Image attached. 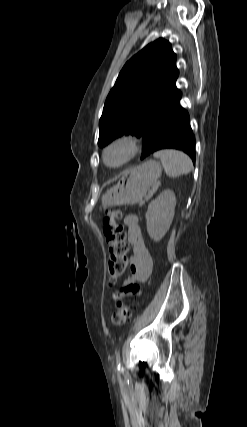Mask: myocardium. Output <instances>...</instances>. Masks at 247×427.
Returning a JSON list of instances; mask_svg holds the SVG:
<instances>
[{
  "mask_svg": "<svg viewBox=\"0 0 247 427\" xmlns=\"http://www.w3.org/2000/svg\"><path fill=\"white\" fill-rule=\"evenodd\" d=\"M139 151V142L131 134L121 135L109 142L102 151V161L105 166L116 169L129 163ZM114 152L120 154L119 159L112 161L110 155Z\"/></svg>",
  "mask_w": 247,
  "mask_h": 427,
  "instance_id": "myocardium-1",
  "label": "myocardium"
}]
</instances>
